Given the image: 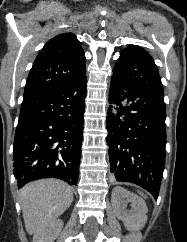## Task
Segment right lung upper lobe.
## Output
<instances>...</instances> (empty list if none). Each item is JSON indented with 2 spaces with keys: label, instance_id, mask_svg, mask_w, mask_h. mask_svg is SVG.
Instances as JSON below:
<instances>
[{
  "label": "right lung upper lobe",
  "instance_id": "1",
  "mask_svg": "<svg viewBox=\"0 0 187 242\" xmlns=\"http://www.w3.org/2000/svg\"><path fill=\"white\" fill-rule=\"evenodd\" d=\"M85 55L72 33L60 34L40 50L30 70L23 98L67 87L85 77Z\"/></svg>",
  "mask_w": 187,
  "mask_h": 242
}]
</instances>
